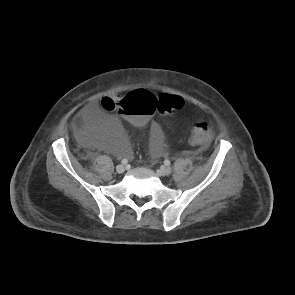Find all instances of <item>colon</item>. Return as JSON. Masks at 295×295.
<instances>
[{
	"label": "colon",
	"instance_id": "colon-1",
	"mask_svg": "<svg viewBox=\"0 0 295 295\" xmlns=\"http://www.w3.org/2000/svg\"><path fill=\"white\" fill-rule=\"evenodd\" d=\"M183 99L174 95H154L145 90H136L126 96L103 98L101 106L106 110H117L125 123L134 129H145L149 126L152 114L156 111L169 114L180 110ZM213 129L208 122H197L191 134L194 145L203 146L210 142Z\"/></svg>",
	"mask_w": 295,
	"mask_h": 295
}]
</instances>
